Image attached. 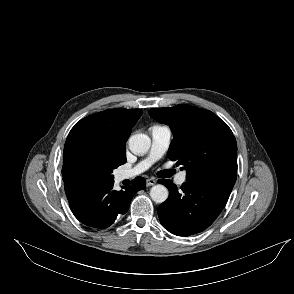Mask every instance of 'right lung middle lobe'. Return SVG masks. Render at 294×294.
<instances>
[{
    "label": "right lung middle lobe",
    "instance_id": "dd1d6c3e",
    "mask_svg": "<svg viewBox=\"0 0 294 294\" xmlns=\"http://www.w3.org/2000/svg\"><path fill=\"white\" fill-rule=\"evenodd\" d=\"M120 165L111 153L81 150L66 160L62 175L71 185L92 186L113 180L112 170Z\"/></svg>",
    "mask_w": 294,
    "mask_h": 294
}]
</instances>
